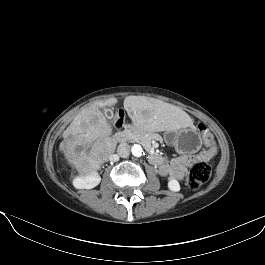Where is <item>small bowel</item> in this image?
Listing matches in <instances>:
<instances>
[{
    "label": "small bowel",
    "instance_id": "c3829d8e",
    "mask_svg": "<svg viewBox=\"0 0 265 265\" xmlns=\"http://www.w3.org/2000/svg\"><path fill=\"white\" fill-rule=\"evenodd\" d=\"M208 148L197 154H183L171 160L164 159V163L158 166L159 174L182 179L186 170L198 161H208L217 153V146L212 142L207 144Z\"/></svg>",
    "mask_w": 265,
    "mask_h": 265
}]
</instances>
